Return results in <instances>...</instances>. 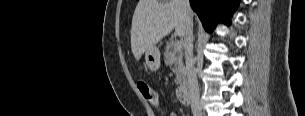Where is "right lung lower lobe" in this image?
Returning a JSON list of instances; mask_svg holds the SVG:
<instances>
[{
	"label": "right lung lower lobe",
	"instance_id": "1",
	"mask_svg": "<svg viewBox=\"0 0 305 116\" xmlns=\"http://www.w3.org/2000/svg\"><path fill=\"white\" fill-rule=\"evenodd\" d=\"M238 2L239 0H190V5L203 27L211 32L219 21L229 24V16L236 9Z\"/></svg>",
	"mask_w": 305,
	"mask_h": 116
}]
</instances>
